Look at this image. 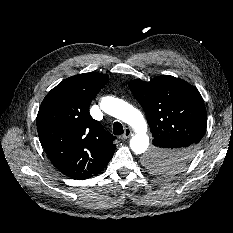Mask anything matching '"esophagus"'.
I'll return each mask as SVG.
<instances>
[{"instance_id": "34e87169", "label": "esophagus", "mask_w": 233, "mask_h": 233, "mask_svg": "<svg viewBox=\"0 0 233 233\" xmlns=\"http://www.w3.org/2000/svg\"><path fill=\"white\" fill-rule=\"evenodd\" d=\"M131 135H132L131 129L126 128V129L124 130L123 135L121 136V139H127V138H129Z\"/></svg>"}]
</instances>
